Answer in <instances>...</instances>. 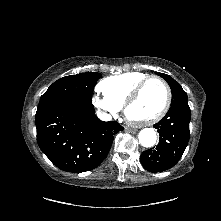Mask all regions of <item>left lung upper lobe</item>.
<instances>
[{
	"label": "left lung upper lobe",
	"instance_id": "5c2ea615",
	"mask_svg": "<svg viewBox=\"0 0 221 221\" xmlns=\"http://www.w3.org/2000/svg\"><path fill=\"white\" fill-rule=\"evenodd\" d=\"M156 73L162 78H164L171 88L172 91L171 106L176 104L188 103L187 93L182 89L181 85L177 81H175L171 76L167 74L159 72Z\"/></svg>",
	"mask_w": 221,
	"mask_h": 221
}]
</instances>
